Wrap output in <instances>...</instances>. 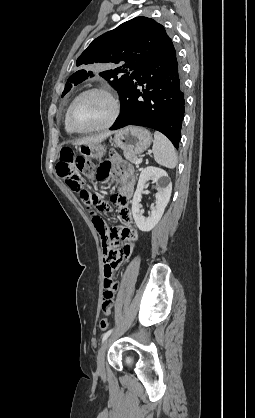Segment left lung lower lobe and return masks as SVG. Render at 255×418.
<instances>
[{"label":"left lung lower lobe","instance_id":"1","mask_svg":"<svg viewBox=\"0 0 255 418\" xmlns=\"http://www.w3.org/2000/svg\"><path fill=\"white\" fill-rule=\"evenodd\" d=\"M119 95L121 112L110 130L127 125L149 127L178 148L185 101L182 69L172 40L130 74Z\"/></svg>","mask_w":255,"mask_h":418}]
</instances>
